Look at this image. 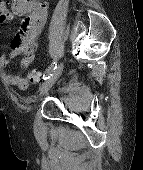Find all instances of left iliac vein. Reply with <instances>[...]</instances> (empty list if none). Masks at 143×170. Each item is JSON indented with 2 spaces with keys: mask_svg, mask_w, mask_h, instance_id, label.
<instances>
[{
  "mask_svg": "<svg viewBox=\"0 0 143 170\" xmlns=\"http://www.w3.org/2000/svg\"><path fill=\"white\" fill-rule=\"evenodd\" d=\"M64 68V63L61 62L59 66L54 70L53 74L47 79L40 88V96L46 94L50 88L55 84V82L60 77Z\"/></svg>",
  "mask_w": 143,
  "mask_h": 170,
  "instance_id": "4c4485c4",
  "label": "left iliac vein"
}]
</instances>
